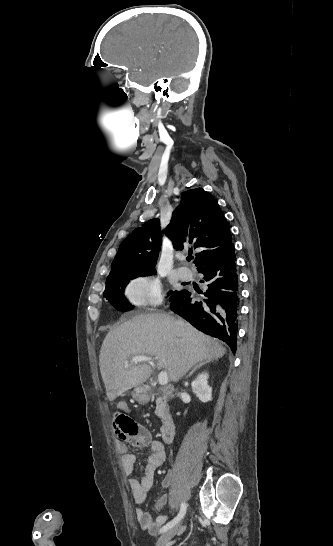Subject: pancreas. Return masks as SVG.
<instances>
[{
	"label": "pancreas",
	"mask_w": 333,
	"mask_h": 546,
	"mask_svg": "<svg viewBox=\"0 0 333 546\" xmlns=\"http://www.w3.org/2000/svg\"><path fill=\"white\" fill-rule=\"evenodd\" d=\"M164 401H165V398L162 397V396H159V397H157V399H156V404H157V406H156V409H155V414H156L157 416H160L161 413H162V407H163V405H164Z\"/></svg>",
	"instance_id": "pancreas-1"
}]
</instances>
